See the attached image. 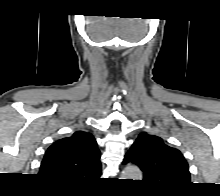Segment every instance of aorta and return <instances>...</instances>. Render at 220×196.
Here are the masks:
<instances>
[{
  "instance_id": "obj_1",
  "label": "aorta",
  "mask_w": 220,
  "mask_h": 196,
  "mask_svg": "<svg viewBox=\"0 0 220 196\" xmlns=\"http://www.w3.org/2000/svg\"><path fill=\"white\" fill-rule=\"evenodd\" d=\"M121 177V179L142 180V173L137 166L128 165L122 171Z\"/></svg>"
}]
</instances>
